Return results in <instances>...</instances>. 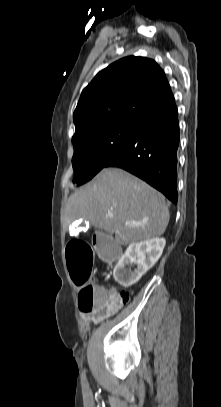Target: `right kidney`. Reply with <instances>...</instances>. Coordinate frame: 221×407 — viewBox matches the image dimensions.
<instances>
[{
    "mask_svg": "<svg viewBox=\"0 0 221 407\" xmlns=\"http://www.w3.org/2000/svg\"><path fill=\"white\" fill-rule=\"evenodd\" d=\"M165 244L166 240L164 238H152L131 243L114 268L113 275L116 281L123 287H130L137 283L158 261ZM132 263L137 264V268L133 272L126 268L127 265Z\"/></svg>",
    "mask_w": 221,
    "mask_h": 407,
    "instance_id": "obj_1",
    "label": "right kidney"
}]
</instances>
